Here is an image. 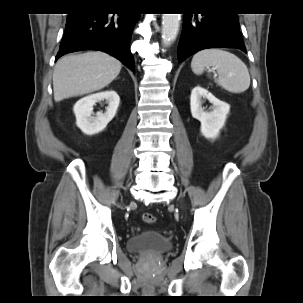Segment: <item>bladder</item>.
Segmentation results:
<instances>
[{"mask_svg":"<svg viewBox=\"0 0 303 303\" xmlns=\"http://www.w3.org/2000/svg\"><path fill=\"white\" fill-rule=\"evenodd\" d=\"M171 239L152 229H145L131 236L126 243L128 252L145 253H163L173 248Z\"/></svg>","mask_w":303,"mask_h":303,"instance_id":"1","label":"bladder"}]
</instances>
